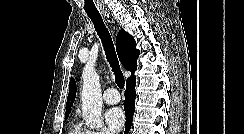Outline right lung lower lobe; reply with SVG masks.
<instances>
[{"label":"right lung lower lobe","instance_id":"right-lung-lower-lobe-1","mask_svg":"<svg viewBox=\"0 0 244 134\" xmlns=\"http://www.w3.org/2000/svg\"><path fill=\"white\" fill-rule=\"evenodd\" d=\"M135 84H136V77H131L126 81V92H125V101H124V110L126 113V126L124 134H128L130 131L132 120H133V113L135 111Z\"/></svg>","mask_w":244,"mask_h":134}]
</instances>
